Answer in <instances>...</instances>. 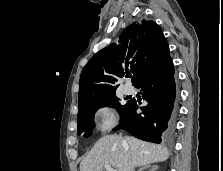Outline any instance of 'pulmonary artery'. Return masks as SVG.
Wrapping results in <instances>:
<instances>
[{
  "instance_id": "obj_1",
  "label": "pulmonary artery",
  "mask_w": 223,
  "mask_h": 171,
  "mask_svg": "<svg viewBox=\"0 0 223 171\" xmlns=\"http://www.w3.org/2000/svg\"><path fill=\"white\" fill-rule=\"evenodd\" d=\"M123 92L126 94V95H131L134 93V88L129 85V84H126L124 87H123Z\"/></svg>"
}]
</instances>
